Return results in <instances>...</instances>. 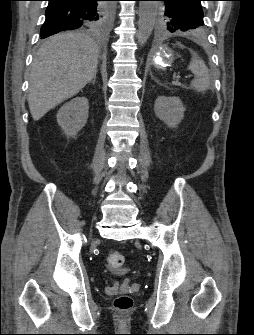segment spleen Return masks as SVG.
Segmentation results:
<instances>
[{
  "instance_id": "1",
  "label": "spleen",
  "mask_w": 254,
  "mask_h": 335,
  "mask_svg": "<svg viewBox=\"0 0 254 335\" xmlns=\"http://www.w3.org/2000/svg\"><path fill=\"white\" fill-rule=\"evenodd\" d=\"M195 79L191 82V87L198 92H204L211 87V77L205 62L196 54L192 55L191 62L188 66Z\"/></svg>"
}]
</instances>
